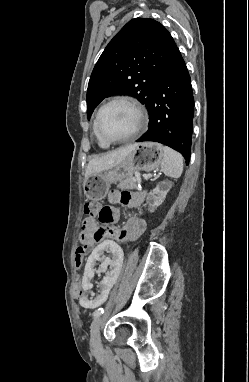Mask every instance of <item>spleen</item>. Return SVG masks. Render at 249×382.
Returning <instances> with one entry per match:
<instances>
[{
  "mask_svg": "<svg viewBox=\"0 0 249 382\" xmlns=\"http://www.w3.org/2000/svg\"><path fill=\"white\" fill-rule=\"evenodd\" d=\"M163 159L161 162L162 172L171 178H179L183 171V157L177 151L170 147L164 146Z\"/></svg>",
  "mask_w": 249,
  "mask_h": 382,
  "instance_id": "spleen-1",
  "label": "spleen"
}]
</instances>
